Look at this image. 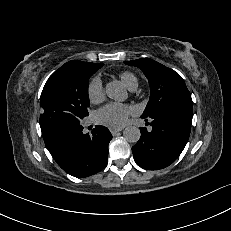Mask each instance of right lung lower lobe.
Here are the masks:
<instances>
[{
	"label": "right lung lower lobe",
	"instance_id": "obj_1",
	"mask_svg": "<svg viewBox=\"0 0 231 231\" xmlns=\"http://www.w3.org/2000/svg\"><path fill=\"white\" fill-rule=\"evenodd\" d=\"M81 123L67 124L43 137L57 164L74 177H88L105 168L108 144L112 135L108 128L96 126L92 134H84Z\"/></svg>",
	"mask_w": 231,
	"mask_h": 231
}]
</instances>
